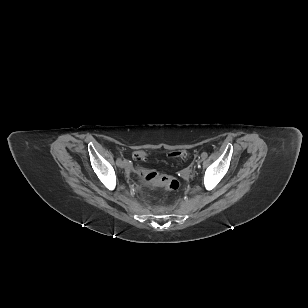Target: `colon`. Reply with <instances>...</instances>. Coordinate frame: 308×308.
Wrapping results in <instances>:
<instances>
[{"label":"colon","instance_id":"1","mask_svg":"<svg viewBox=\"0 0 308 308\" xmlns=\"http://www.w3.org/2000/svg\"><path fill=\"white\" fill-rule=\"evenodd\" d=\"M169 156L185 159L188 157V152L186 150H179L170 153ZM145 157L146 153L144 151H136L133 154V158L135 160H143ZM136 174L144 178L146 181L156 186L165 188L168 191H176L179 188V182L177 179L155 170L137 168Z\"/></svg>","mask_w":308,"mask_h":308}]
</instances>
